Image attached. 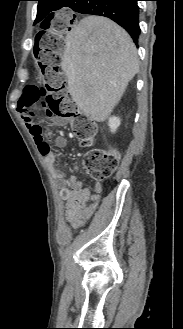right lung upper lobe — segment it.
I'll list each match as a JSON object with an SVG mask.
<instances>
[{"mask_svg": "<svg viewBox=\"0 0 183 329\" xmlns=\"http://www.w3.org/2000/svg\"><path fill=\"white\" fill-rule=\"evenodd\" d=\"M38 12L36 22L46 21L53 11H56L62 7H72L68 1L71 0H38ZM43 21V22H44Z\"/></svg>", "mask_w": 183, "mask_h": 329, "instance_id": "right-lung-upper-lobe-1", "label": "right lung upper lobe"}]
</instances>
